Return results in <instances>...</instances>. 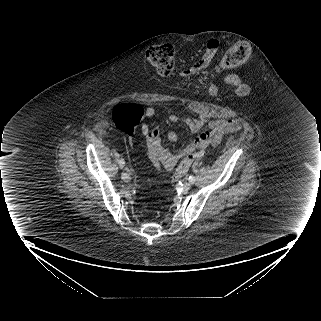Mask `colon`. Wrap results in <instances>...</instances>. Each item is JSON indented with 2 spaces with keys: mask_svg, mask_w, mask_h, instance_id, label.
<instances>
[{
  "mask_svg": "<svg viewBox=\"0 0 321 321\" xmlns=\"http://www.w3.org/2000/svg\"><path fill=\"white\" fill-rule=\"evenodd\" d=\"M250 52V46L246 42L236 43L224 54L218 63L216 67L217 72L224 73L241 66L249 58ZM146 58L153 69L161 76H171L175 71L177 57L171 45L162 44L150 47L146 52ZM144 116L145 109L142 105L138 103H123L115 108L113 120L118 129L132 134ZM208 143V133H203L196 138V150L181 160L173 175L174 181L182 178L193 161L204 155L201 148L205 147Z\"/></svg>",
  "mask_w": 321,
  "mask_h": 321,
  "instance_id": "colon-1",
  "label": "colon"
}]
</instances>
